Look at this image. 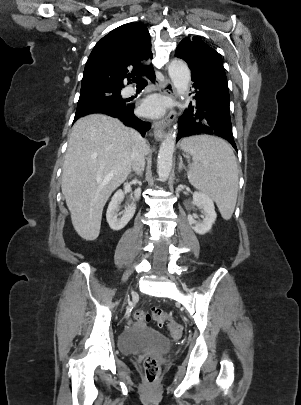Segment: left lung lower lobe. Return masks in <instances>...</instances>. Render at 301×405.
<instances>
[{"mask_svg":"<svg viewBox=\"0 0 301 405\" xmlns=\"http://www.w3.org/2000/svg\"><path fill=\"white\" fill-rule=\"evenodd\" d=\"M194 82L195 105L179 118L177 141L193 135H214L226 139L237 151L232 134L229 97L217 92L198 76H192Z\"/></svg>","mask_w":301,"mask_h":405,"instance_id":"obj_1","label":"left lung lower lobe"}]
</instances>
